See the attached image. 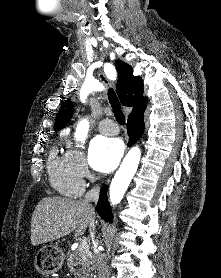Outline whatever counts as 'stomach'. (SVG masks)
<instances>
[{
    "label": "stomach",
    "mask_w": 221,
    "mask_h": 278,
    "mask_svg": "<svg viewBox=\"0 0 221 278\" xmlns=\"http://www.w3.org/2000/svg\"><path fill=\"white\" fill-rule=\"evenodd\" d=\"M64 259L65 255L57 245L43 246L36 255L35 266L40 273L50 275L61 269Z\"/></svg>",
    "instance_id": "0dacf381"
}]
</instances>
